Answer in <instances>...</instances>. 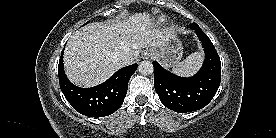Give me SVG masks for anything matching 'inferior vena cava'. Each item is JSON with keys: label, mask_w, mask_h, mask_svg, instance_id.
<instances>
[{"label": "inferior vena cava", "mask_w": 276, "mask_h": 138, "mask_svg": "<svg viewBox=\"0 0 276 138\" xmlns=\"http://www.w3.org/2000/svg\"><path fill=\"white\" fill-rule=\"evenodd\" d=\"M118 61L123 66L130 65L131 63H133L134 57L130 52L125 51V52H121L118 55Z\"/></svg>", "instance_id": "1"}]
</instances>
